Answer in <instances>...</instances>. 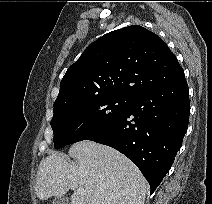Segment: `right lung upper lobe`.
Returning <instances> with one entry per match:
<instances>
[{"instance_id": "obj_1", "label": "right lung upper lobe", "mask_w": 212, "mask_h": 204, "mask_svg": "<svg viewBox=\"0 0 212 204\" xmlns=\"http://www.w3.org/2000/svg\"><path fill=\"white\" fill-rule=\"evenodd\" d=\"M184 75L177 58L155 33L138 25L112 31L90 44L60 83L54 109L97 97H131Z\"/></svg>"}]
</instances>
